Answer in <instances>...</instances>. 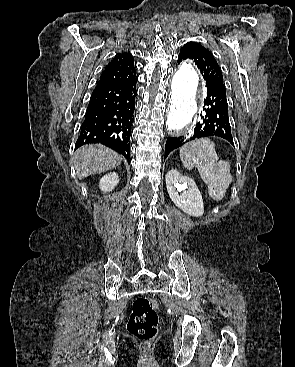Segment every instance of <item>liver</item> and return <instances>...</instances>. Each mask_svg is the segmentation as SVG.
Masks as SVG:
<instances>
[{
    "label": "liver",
    "mask_w": 295,
    "mask_h": 367,
    "mask_svg": "<svg viewBox=\"0 0 295 367\" xmlns=\"http://www.w3.org/2000/svg\"><path fill=\"white\" fill-rule=\"evenodd\" d=\"M121 161V155L101 144L85 145L74 153V167L79 179L111 170Z\"/></svg>",
    "instance_id": "liver-1"
}]
</instances>
